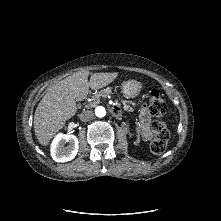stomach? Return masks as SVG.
Returning a JSON list of instances; mask_svg holds the SVG:
<instances>
[{
	"label": "stomach",
	"mask_w": 221,
	"mask_h": 221,
	"mask_svg": "<svg viewBox=\"0 0 221 221\" xmlns=\"http://www.w3.org/2000/svg\"><path fill=\"white\" fill-rule=\"evenodd\" d=\"M141 91V83L136 80H128L123 83L122 92L126 98H135Z\"/></svg>",
	"instance_id": "stomach-1"
}]
</instances>
